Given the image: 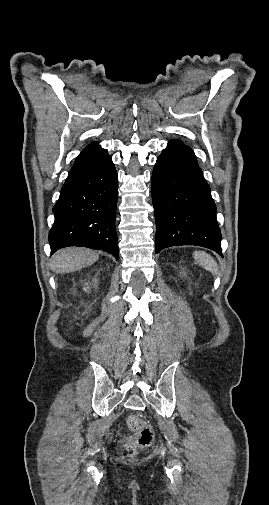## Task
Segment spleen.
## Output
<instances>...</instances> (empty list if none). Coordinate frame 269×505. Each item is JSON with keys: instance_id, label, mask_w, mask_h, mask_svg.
I'll list each match as a JSON object with an SVG mask.
<instances>
[{"instance_id": "obj_1", "label": "spleen", "mask_w": 269, "mask_h": 505, "mask_svg": "<svg viewBox=\"0 0 269 505\" xmlns=\"http://www.w3.org/2000/svg\"><path fill=\"white\" fill-rule=\"evenodd\" d=\"M193 258L204 267V269L208 270L212 274H218L219 267L214 258L204 251H195L193 253Z\"/></svg>"}]
</instances>
